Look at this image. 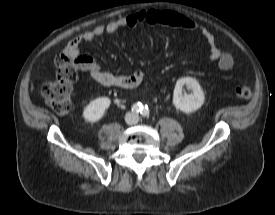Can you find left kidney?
I'll use <instances>...</instances> for the list:
<instances>
[{
    "label": "left kidney",
    "instance_id": "5707ae66",
    "mask_svg": "<svg viewBox=\"0 0 275 215\" xmlns=\"http://www.w3.org/2000/svg\"><path fill=\"white\" fill-rule=\"evenodd\" d=\"M183 86L189 88L192 93H183ZM205 97L198 81L192 77H183L177 80L173 92L174 106L184 113H191L199 109L204 103Z\"/></svg>",
    "mask_w": 275,
    "mask_h": 215
}]
</instances>
